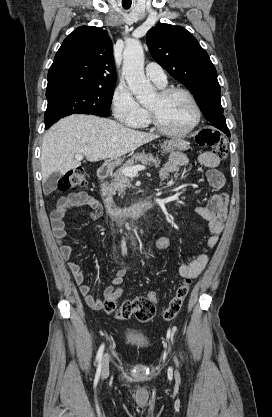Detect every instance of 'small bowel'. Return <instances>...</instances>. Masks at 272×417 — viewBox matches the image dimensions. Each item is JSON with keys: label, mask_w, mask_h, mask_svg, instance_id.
Returning a JSON list of instances; mask_svg holds the SVG:
<instances>
[{"label": "small bowel", "mask_w": 272, "mask_h": 417, "mask_svg": "<svg viewBox=\"0 0 272 417\" xmlns=\"http://www.w3.org/2000/svg\"><path fill=\"white\" fill-rule=\"evenodd\" d=\"M197 161L208 168L206 180L211 189L219 191L223 188L225 179L223 174L217 169L220 164V158L213 152L208 151L199 154L197 156ZM189 162L190 158L187 153H174L160 170L161 180H167L172 174L176 173L180 167L189 164ZM200 191L201 189L198 190V192ZM227 201L228 198L226 194L215 193L207 204L195 208V212L208 222V228L211 234L206 240V246L209 249H214L217 246L223 232L224 223L227 219ZM80 206L89 207L90 214L93 218H99L102 215V206L97 198L89 195L84 190L71 192L58 201L52 212L54 237L60 244V256L67 263V267L72 274L81 295L91 309L100 311L104 307V301L91 294V286L85 283V272L83 271L82 266L77 262L69 261L73 253V246L71 244L62 243L67 236L65 230L66 213L69 209ZM208 262L209 255L199 254L190 262L182 264L179 267V274L186 279L196 278L206 268ZM125 273V267L123 264H120L111 284L104 289L103 296L105 300L122 284Z\"/></svg>", "instance_id": "small-bowel-1"}]
</instances>
